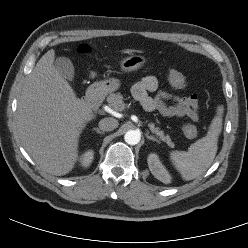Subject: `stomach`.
I'll use <instances>...</instances> for the list:
<instances>
[{"label": "stomach", "mask_w": 248, "mask_h": 248, "mask_svg": "<svg viewBox=\"0 0 248 248\" xmlns=\"http://www.w3.org/2000/svg\"><path fill=\"white\" fill-rule=\"evenodd\" d=\"M146 63V58L141 55L125 57L120 61V68L124 72H132L140 69ZM99 87L104 92H113L120 87V81L116 78H109L101 81Z\"/></svg>", "instance_id": "stomach-1"}]
</instances>
